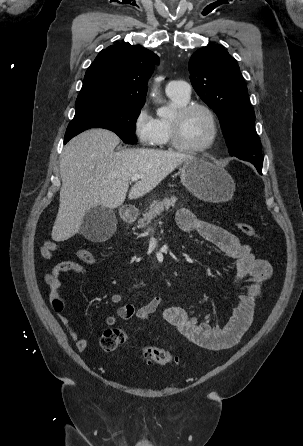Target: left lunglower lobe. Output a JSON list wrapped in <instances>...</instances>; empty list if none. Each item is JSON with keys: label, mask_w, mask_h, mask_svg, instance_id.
<instances>
[{"label": "left lung lower lobe", "mask_w": 303, "mask_h": 446, "mask_svg": "<svg viewBox=\"0 0 303 446\" xmlns=\"http://www.w3.org/2000/svg\"><path fill=\"white\" fill-rule=\"evenodd\" d=\"M254 166L257 168L258 172L261 173V169H262V167L257 166V165H254Z\"/></svg>", "instance_id": "0a47b994"}]
</instances>
